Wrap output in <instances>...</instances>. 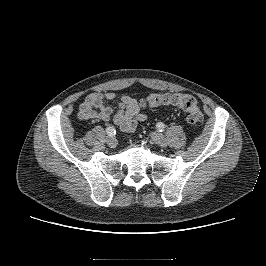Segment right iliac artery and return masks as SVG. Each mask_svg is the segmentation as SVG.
Here are the masks:
<instances>
[{"mask_svg": "<svg viewBox=\"0 0 266 266\" xmlns=\"http://www.w3.org/2000/svg\"><path fill=\"white\" fill-rule=\"evenodd\" d=\"M106 132L109 136H113L115 133H116V130L114 128V126H109L107 129H106Z\"/></svg>", "mask_w": 266, "mask_h": 266, "instance_id": "82829eb1", "label": "right iliac artery"}]
</instances>
